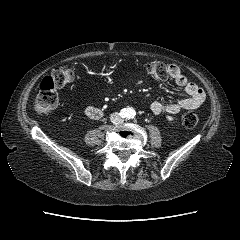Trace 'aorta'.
<instances>
[{
  "label": "aorta",
  "instance_id": "1",
  "mask_svg": "<svg viewBox=\"0 0 240 240\" xmlns=\"http://www.w3.org/2000/svg\"><path fill=\"white\" fill-rule=\"evenodd\" d=\"M128 115H135V111L131 108L127 109Z\"/></svg>",
  "mask_w": 240,
  "mask_h": 240
}]
</instances>
